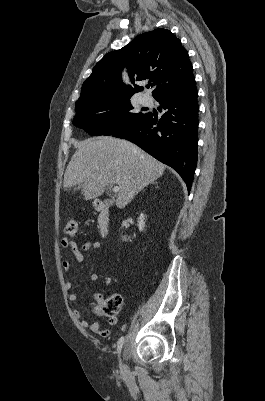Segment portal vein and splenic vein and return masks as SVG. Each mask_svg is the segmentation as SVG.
<instances>
[{"label": "portal vein and splenic vein", "mask_w": 265, "mask_h": 401, "mask_svg": "<svg viewBox=\"0 0 265 401\" xmlns=\"http://www.w3.org/2000/svg\"><path fill=\"white\" fill-rule=\"evenodd\" d=\"M112 190H113V192H118L119 186H113Z\"/></svg>", "instance_id": "18ae733b"}]
</instances>
